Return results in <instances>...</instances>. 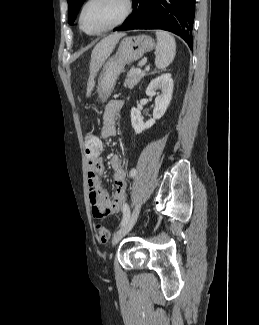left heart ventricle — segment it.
I'll return each mask as SVG.
<instances>
[{
    "label": "left heart ventricle",
    "instance_id": "1",
    "mask_svg": "<svg viewBox=\"0 0 259 325\" xmlns=\"http://www.w3.org/2000/svg\"><path fill=\"white\" fill-rule=\"evenodd\" d=\"M123 12V0H92L84 10L83 26L89 32L102 30L116 22Z\"/></svg>",
    "mask_w": 259,
    "mask_h": 325
}]
</instances>
